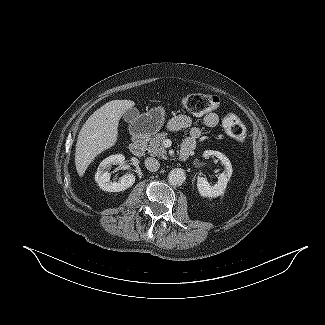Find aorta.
I'll use <instances>...</instances> for the list:
<instances>
[{"instance_id":"1","label":"aorta","mask_w":325,"mask_h":325,"mask_svg":"<svg viewBox=\"0 0 325 325\" xmlns=\"http://www.w3.org/2000/svg\"><path fill=\"white\" fill-rule=\"evenodd\" d=\"M185 179L186 174L182 168L172 169L168 174V180L171 185H181Z\"/></svg>"}]
</instances>
